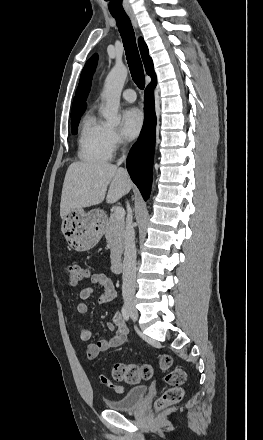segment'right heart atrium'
<instances>
[{"instance_id": "d8ad5b80", "label": "right heart atrium", "mask_w": 263, "mask_h": 440, "mask_svg": "<svg viewBox=\"0 0 263 440\" xmlns=\"http://www.w3.org/2000/svg\"><path fill=\"white\" fill-rule=\"evenodd\" d=\"M107 139L112 151L116 150L118 147H120L123 144V139L120 133L118 132L117 129L112 127H108Z\"/></svg>"}]
</instances>
